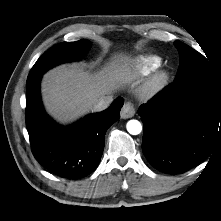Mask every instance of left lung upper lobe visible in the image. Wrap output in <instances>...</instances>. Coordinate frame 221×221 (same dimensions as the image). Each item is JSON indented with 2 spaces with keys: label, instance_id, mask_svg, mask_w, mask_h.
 Wrapping results in <instances>:
<instances>
[{
  "label": "left lung upper lobe",
  "instance_id": "1",
  "mask_svg": "<svg viewBox=\"0 0 221 221\" xmlns=\"http://www.w3.org/2000/svg\"><path fill=\"white\" fill-rule=\"evenodd\" d=\"M179 52L180 65L175 77V82L198 79L205 81L221 91V76L211 68L207 59L188 45L174 42Z\"/></svg>",
  "mask_w": 221,
  "mask_h": 221
}]
</instances>
